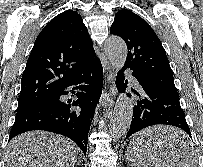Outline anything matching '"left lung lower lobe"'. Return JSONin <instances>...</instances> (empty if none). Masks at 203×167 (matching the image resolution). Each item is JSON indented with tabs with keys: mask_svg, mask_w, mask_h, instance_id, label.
<instances>
[{
	"mask_svg": "<svg viewBox=\"0 0 203 167\" xmlns=\"http://www.w3.org/2000/svg\"><path fill=\"white\" fill-rule=\"evenodd\" d=\"M126 69V68H124ZM139 82L138 90H133L136 100L133 117L126 138L148 126L165 124L184 130L191 138L190 129L186 123L185 114L180 106L179 94L176 88L162 87L157 83L144 79L139 73L132 74ZM120 83L124 77L118 75ZM190 140L178 143V148L187 150Z\"/></svg>",
	"mask_w": 203,
	"mask_h": 167,
	"instance_id": "left-lung-lower-lobe-1",
	"label": "left lung lower lobe"
}]
</instances>
